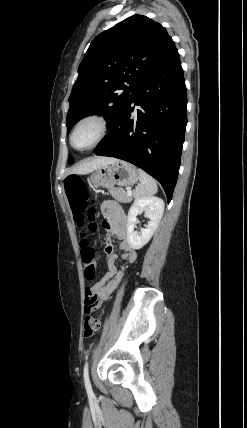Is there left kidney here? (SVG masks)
Segmentation results:
<instances>
[{
    "instance_id": "5707ae66",
    "label": "left kidney",
    "mask_w": 247,
    "mask_h": 428,
    "mask_svg": "<svg viewBox=\"0 0 247 428\" xmlns=\"http://www.w3.org/2000/svg\"><path fill=\"white\" fill-rule=\"evenodd\" d=\"M145 213L148 225L138 234L134 231L138 214ZM164 212V201L159 197H141L135 199L127 217V241L132 249L138 250L146 245L157 229Z\"/></svg>"
}]
</instances>
